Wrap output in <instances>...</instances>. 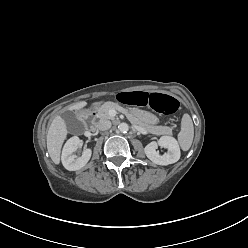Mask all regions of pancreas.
I'll return each mask as SVG.
<instances>
[{
  "instance_id": "obj_1",
  "label": "pancreas",
  "mask_w": 248,
  "mask_h": 248,
  "mask_svg": "<svg viewBox=\"0 0 248 248\" xmlns=\"http://www.w3.org/2000/svg\"><path fill=\"white\" fill-rule=\"evenodd\" d=\"M111 109L121 111L127 115L129 120L136 125H139L143 128H145L147 131L150 133L160 135V134H167V135H172V128L167 127V126H152L149 124H146L142 121H140L133 113L132 111H129L128 109L123 108L117 103L114 102H108L103 104L99 109H98V114L97 116L100 119H113L112 116L109 115V111Z\"/></svg>"
}]
</instances>
